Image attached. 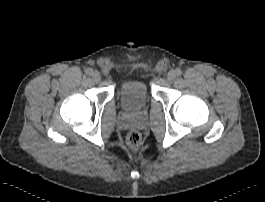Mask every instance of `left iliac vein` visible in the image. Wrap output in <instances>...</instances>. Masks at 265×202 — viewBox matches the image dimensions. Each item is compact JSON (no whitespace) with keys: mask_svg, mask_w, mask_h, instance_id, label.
Wrapping results in <instances>:
<instances>
[{"mask_svg":"<svg viewBox=\"0 0 265 202\" xmlns=\"http://www.w3.org/2000/svg\"><path fill=\"white\" fill-rule=\"evenodd\" d=\"M176 76H177V74H176L175 70H170L168 72V74H167V80L169 82H172V81H174V79L176 78Z\"/></svg>","mask_w":265,"mask_h":202,"instance_id":"left-iliac-vein-1","label":"left iliac vein"}]
</instances>
